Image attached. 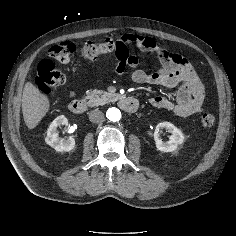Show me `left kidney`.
I'll list each match as a JSON object with an SVG mask.
<instances>
[{"mask_svg": "<svg viewBox=\"0 0 236 236\" xmlns=\"http://www.w3.org/2000/svg\"><path fill=\"white\" fill-rule=\"evenodd\" d=\"M160 129H166L169 133H171V136L169 137V140L167 142H163L159 138ZM154 140L157 150L161 152H172L177 149L179 144H182L184 142V134L172 123L161 122L156 126L154 132Z\"/></svg>", "mask_w": 236, "mask_h": 236, "instance_id": "5707ae66", "label": "left kidney"}]
</instances>
